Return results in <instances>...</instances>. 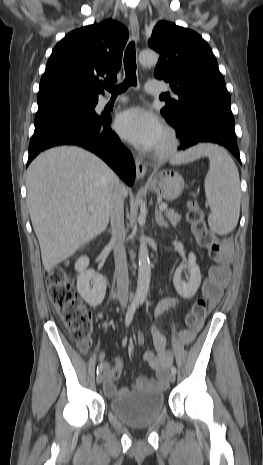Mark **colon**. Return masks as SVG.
<instances>
[{
  "label": "colon",
  "mask_w": 263,
  "mask_h": 465,
  "mask_svg": "<svg viewBox=\"0 0 263 465\" xmlns=\"http://www.w3.org/2000/svg\"><path fill=\"white\" fill-rule=\"evenodd\" d=\"M188 220L198 244L206 248L212 257H217L221 246L215 235L207 228L204 215L196 201L189 204ZM48 295L57 315L70 336L82 350L91 345L92 316L78 297L72 279L63 267L53 269L47 278ZM207 300L198 299L185 317L187 327L194 331L203 321Z\"/></svg>",
  "instance_id": "5ec220e1"
}]
</instances>
